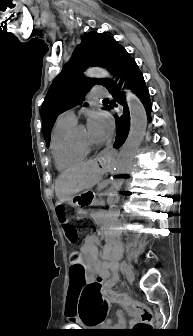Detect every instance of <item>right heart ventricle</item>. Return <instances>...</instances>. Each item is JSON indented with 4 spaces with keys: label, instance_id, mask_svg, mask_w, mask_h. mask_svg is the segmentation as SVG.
Here are the masks:
<instances>
[{
    "label": "right heart ventricle",
    "instance_id": "e07e8e85",
    "mask_svg": "<svg viewBox=\"0 0 193 336\" xmlns=\"http://www.w3.org/2000/svg\"><path fill=\"white\" fill-rule=\"evenodd\" d=\"M75 124H56L51 139V149L58 169L64 170L81 163L89 151L71 137Z\"/></svg>",
    "mask_w": 193,
    "mask_h": 336
}]
</instances>
